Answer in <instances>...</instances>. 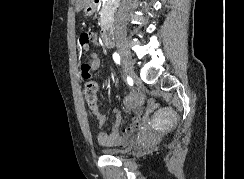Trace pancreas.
Segmentation results:
<instances>
[{
  "mask_svg": "<svg viewBox=\"0 0 244 179\" xmlns=\"http://www.w3.org/2000/svg\"><path fill=\"white\" fill-rule=\"evenodd\" d=\"M111 6V0H108V2H105V4H103L100 12H101V18L100 20H106V18H108V14H109V10H112V8H110Z\"/></svg>",
  "mask_w": 244,
  "mask_h": 179,
  "instance_id": "1",
  "label": "pancreas"
}]
</instances>
